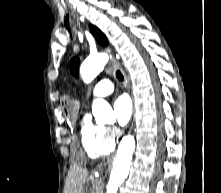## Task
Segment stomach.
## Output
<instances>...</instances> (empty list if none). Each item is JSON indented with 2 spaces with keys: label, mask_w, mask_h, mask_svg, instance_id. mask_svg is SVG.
Returning <instances> with one entry per match:
<instances>
[{
  "label": "stomach",
  "mask_w": 221,
  "mask_h": 193,
  "mask_svg": "<svg viewBox=\"0 0 221 193\" xmlns=\"http://www.w3.org/2000/svg\"><path fill=\"white\" fill-rule=\"evenodd\" d=\"M78 102H76V98H61V102L59 106L62 110V115H65V120H76L77 112L80 111L78 107ZM74 159H70V164L72 167H83L85 164V154H79L78 150L74 151L73 155ZM91 188L89 186H83V190L81 193H91Z\"/></svg>",
  "instance_id": "1"
}]
</instances>
